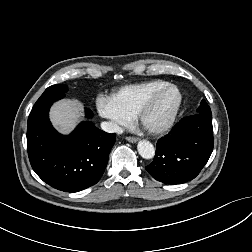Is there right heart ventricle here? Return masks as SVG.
Returning a JSON list of instances; mask_svg holds the SVG:
<instances>
[{
    "mask_svg": "<svg viewBox=\"0 0 252 252\" xmlns=\"http://www.w3.org/2000/svg\"><path fill=\"white\" fill-rule=\"evenodd\" d=\"M168 83V81L162 79H154L126 85L114 92L111 98L125 113L130 116H135L139 107L149 95L159 87Z\"/></svg>",
    "mask_w": 252,
    "mask_h": 252,
    "instance_id": "obj_1",
    "label": "right heart ventricle"
}]
</instances>
